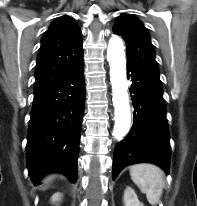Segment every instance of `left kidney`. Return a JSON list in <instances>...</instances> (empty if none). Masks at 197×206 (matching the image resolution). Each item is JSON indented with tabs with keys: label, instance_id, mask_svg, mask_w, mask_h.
Segmentation results:
<instances>
[{
	"label": "left kidney",
	"instance_id": "5707ae66",
	"mask_svg": "<svg viewBox=\"0 0 197 206\" xmlns=\"http://www.w3.org/2000/svg\"><path fill=\"white\" fill-rule=\"evenodd\" d=\"M124 206H144L139 202L135 191L131 187H127L124 192Z\"/></svg>",
	"mask_w": 197,
	"mask_h": 206
}]
</instances>
